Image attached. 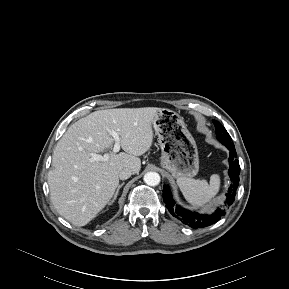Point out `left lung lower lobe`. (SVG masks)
<instances>
[{
  "instance_id": "0a47b994",
  "label": "left lung lower lobe",
  "mask_w": 289,
  "mask_h": 289,
  "mask_svg": "<svg viewBox=\"0 0 289 289\" xmlns=\"http://www.w3.org/2000/svg\"><path fill=\"white\" fill-rule=\"evenodd\" d=\"M222 144L225 145L230 151V167L228 173L232 181L222 207H218L212 214H200L197 212H191L177 205L172 198L169 187L164 185L163 201L166 204V208H168L169 212L174 217L181 220L184 224L190 226L191 228H203L215 224L221 219L222 216L225 215V210L229 208V206H231L235 200L236 190L239 185V161L236 159L237 154L234 148V144L231 141H226Z\"/></svg>"
}]
</instances>
